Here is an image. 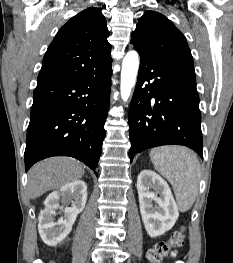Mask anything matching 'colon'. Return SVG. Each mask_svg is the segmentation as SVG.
<instances>
[{"label": "colon", "instance_id": "5ec220e1", "mask_svg": "<svg viewBox=\"0 0 233 263\" xmlns=\"http://www.w3.org/2000/svg\"><path fill=\"white\" fill-rule=\"evenodd\" d=\"M185 233L183 230L174 232L166 241L156 243L152 249L149 250L147 258L150 263H161L167 254L184 243Z\"/></svg>", "mask_w": 233, "mask_h": 263}]
</instances>
